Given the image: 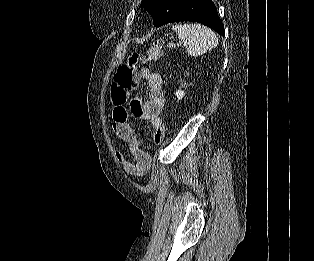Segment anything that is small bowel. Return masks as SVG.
Listing matches in <instances>:
<instances>
[{"mask_svg": "<svg viewBox=\"0 0 314 261\" xmlns=\"http://www.w3.org/2000/svg\"><path fill=\"white\" fill-rule=\"evenodd\" d=\"M139 78L148 87L146 100L135 98L129 103V108L125 103L121 105L112 104L113 131L130 153V157H128L125 152L118 151L117 157L123 165L124 172L136 178L143 177L149 171L152 157L143 147L128 119L131 116L136 119L146 120L153 128H156L163 123L161 112L165 104L162 76L144 67L139 72Z\"/></svg>", "mask_w": 314, "mask_h": 261, "instance_id": "c3829d8e", "label": "small bowel"}]
</instances>
